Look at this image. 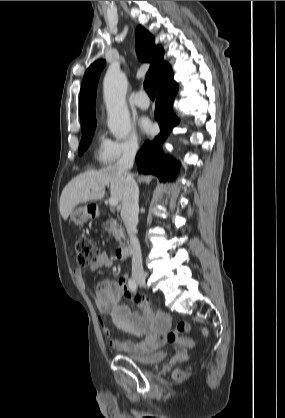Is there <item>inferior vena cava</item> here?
Returning <instances> with one entry per match:
<instances>
[{
  "label": "inferior vena cava",
  "mask_w": 285,
  "mask_h": 418,
  "mask_svg": "<svg viewBox=\"0 0 285 418\" xmlns=\"http://www.w3.org/2000/svg\"><path fill=\"white\" fill-rule=\"evenodd\" d=\"M137 149V144H129L123 151L122 157L117 161L116 168L118 172L122 173L125 177L121 217L130 236L132 248V274L144 275L140 243L136 237L139 212V189L134 178L129 173V170L133 167Z\"/></svg>",
  "instance_id": "602c4592"
}]
</instances>
